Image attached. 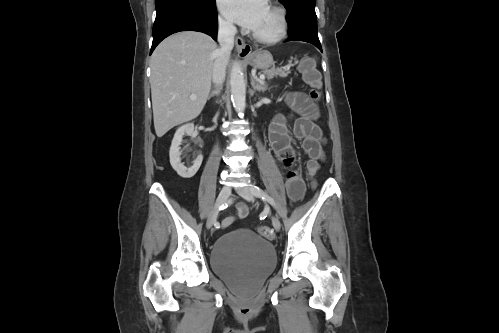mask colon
I'll return each instance as SVG.
<instances>
[{
	"instance_id": "1",
	"label": "colon",
	"mask_w": 499,
	"mask_h": 333,
	"mask_svg": "<svg viewBox=\"0 0 499 333\" xmlns=\"http://www.w3.org/2000/svg\"><path fill=\"white\" fill-rule=\"evenodd\" d=\"M300 71L305 82L310 86L309 97L313 102H318L321 98L322 77L320 72L314 66L310 58L302 59ZM320 170V164L316 160L309 159L306 165V172L311 180H314ZM258 232L267 239L273 238L271 229L267 226H259Z\"/></svg>"
}]
</instances>
